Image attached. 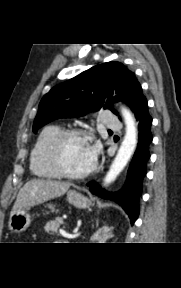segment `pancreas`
<instances>
[{"mask_svg": "<svg viewBox=\"0 0 181 288\" xmlns=\"http://www.w3.org/2000/svg\"><path fill=\"white\" fill-rule=\"evenodd\" d=\"M63 218L57 217L46 223L44 230L49 234H57L58 228L63 225Z\"/></svg>", "mask_w": 181, "mask_h": 288, "instance_id": "1", "label": "pancreas"}]
</instances>
